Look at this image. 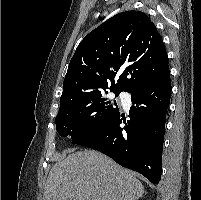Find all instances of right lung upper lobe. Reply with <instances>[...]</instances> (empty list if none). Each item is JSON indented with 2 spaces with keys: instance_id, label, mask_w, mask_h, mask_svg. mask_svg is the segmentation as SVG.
<instances>
[{
  "instance_id": "obj_1",
  "label": "right lung upper lobe",
  "mask_w": 201,
  "mask_h": 200,
  "mask_svg": "<svg viewBox=\"0 0 201 200\" xmlns=\"http://www.w3.org/2000/svg\"><path fill=\"white\" fill-rule=\"evenodd\" d=\"M169 70L162 37L149 17L126 11L91 31L78 45L61 102L110 88L131 92Z\"/></svg>"
}]
</instances>
